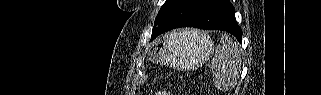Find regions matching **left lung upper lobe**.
<instances>
[{
	"label": "left lung upper lobe",
	"mask_w": 321,
	"mask_h": 95,
	"mask_svg": "<svg viewBox=\"0 0 321 95\" xmlns=\"http://www.w3.org/2000/svg\"><path fill=\"white\" fill-rule=\"evenodd\" d=\"M173 0H166V2L164 3V5L161 7V9L159 10L158 15L155 18V22H154V27L153 30L156 28V26L159 24V22L161 21L162 17L164 16V14L166 13V11L168 10V8L171 6Z\"/></svg>",
	"instance_id": "obj_1"
}]
</instances>
